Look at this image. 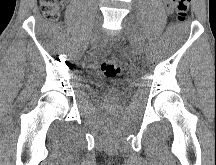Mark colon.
<instances>
[{
	"label": "colon",
	"instance_id": "obj_1",
	"mask_svg": "<svg viewBox=\"0 0 216 165\" xmlns=\"http://www.w3.org/2000/svg\"><path fill=\"white\" fill-rule=\"evenodd\" d=\"M65 0H40L41 10L47 19L55 20ZM191 0H172L176 18L179 22L185 21ZM101 71L109 79H119L122 75V68L116 58L106 55L101 63Z\"/></svg>",
	"mask_w": 216,
	"mask_h": 165
}]
</instances>
